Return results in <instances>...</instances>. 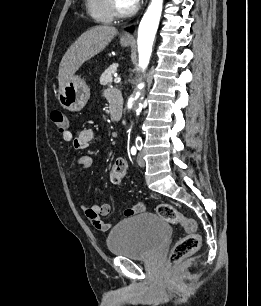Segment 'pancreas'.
Segmentation results:
<instances>
[{
    "label": "pancreas",
    "mask_w": 261,
    "mask_h": 306,
    "mask_svg": "<svg viewBox=\"0 0 261 306\" xmlns=\"http://www.w3.org/2000/svg\"><path fill=\"white\" fill-rule=\"evenodd\" d=\"M117 70V64H113L109 66L104 73H102L100 77V84L105 86V85H110L113 81V74Z\"/></svg>",
    "instance_id": "obj_1"
}]
</instances>
